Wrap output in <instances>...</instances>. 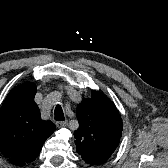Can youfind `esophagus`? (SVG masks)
Returning <instances> with one entry per match:
<instances>
[{
  "instance_id": "obj_1",
  "label": "esophagus",
  "mask_w": 168,
  "mask_h": 168,
  "mask_svg": "<svg viewBox=\"0 0 168 168\" xmlns=\"http://www.w3.org/2000/svg\"><path fill=\"white\" fill-rule=\"evenodd\" d=\"M67 124H68L67 120L56 123L57 127L59 128L66 127Z\"/></svg>"
}]
</instances>
